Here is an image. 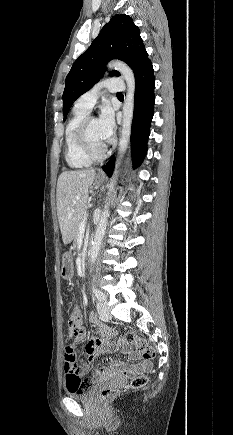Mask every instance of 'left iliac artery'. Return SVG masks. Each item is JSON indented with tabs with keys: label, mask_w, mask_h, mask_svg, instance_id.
Masks as SVG:
<instances>
[{
	"label": "left iliac artery",
	"mask_w": 233,
	"mask_h": 435,
	"mask_svg": "<svg viewBox=\"0 0 233 435\" xmlns=\"http://www.w3.org/2000/svg\"><path fill=\"white\" fill-rule=\"evenodd\" d=\"M93 293L95 295V297L99 300L102 301L104 300V295L103 293H101L98 289H96L94 286L92 287Z\"/></svg>",
	"instance_id": "left-iliac-artery-1"
}]
</instances>
